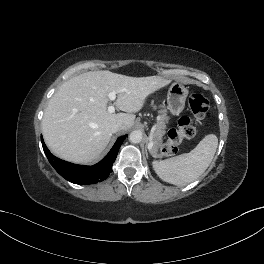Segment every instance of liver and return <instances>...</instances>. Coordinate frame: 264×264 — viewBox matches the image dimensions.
I'll use <instances>...</instances> for the list:
<instances>
[{"instance_id":"liver-1","label":"liver","mask_w":264,"mask_h":264,"mask_svg":"<svg viewBox=\"0 0 264 264\" xmlns=\"http://www.w3.org/2000/svg\"><path fill=\"white\" fill-rule=\"evenodd\" d=\"M170 83L161 76L130 77L110 71H91L64 82L51 97L42 119L44 140L53 154L79 164L96 161L108 145L112 126L128 130L146 98ZM123 90V91H122ZM126 113H110L108 93Z\"/></svg>"}]
</instances>
